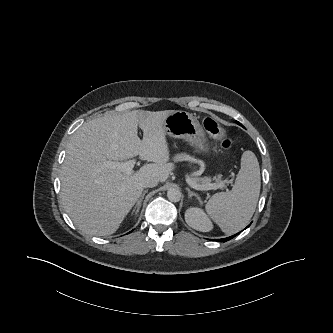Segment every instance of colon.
<instances>
[{"label":"colon","instance_id":"colon-1","mask_svg":"<svg viewBox=\"0 0 333 333\" xmlns=\"http://www.w3.org/2000/svg\"><path fill=\"white\" fill-rule=\"evenodd\" d=\"M204 128L211 136L219 140L222 149L227 150L231 147V140L225 135L223 128L213 118L208 117L204 120Z\"/></svg>","mask_w":333,"mask_h":333}]
</instances>
